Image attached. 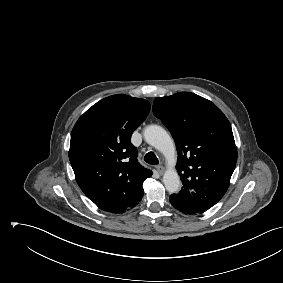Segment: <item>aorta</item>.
Returning <instances> with one entry per match:
<instances>
[{
	"mask_svg": "<svg viewBox=\"0 0 283 283\" xmlns=\"http://www.w3.org/2000/svg\"><path fill=\"white\" fill-rule=\"evenodd\" d=\"M143 136L145 141L159 150L170 162V167L163 176L165 188L170 193L179 191L181 186L180 177L174 168L176 160L175 144L167 131L158 125H149L144 129Z\"/></svg>",
	"mask_w": 283,
	"mask_h": 283,
	"instance_id": "obj_1",
	"label": "aorta"
}]
</instances>
